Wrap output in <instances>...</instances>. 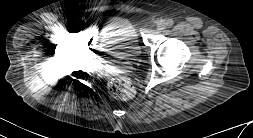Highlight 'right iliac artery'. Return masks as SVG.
<instances>
[{
    "instance_id": "1",
    "label": "right iliac artery",
    "mask_w": 253,
    "mask_h": 138,
    "mask_svg": "<svg viewBox=\"0 0 253 138\" xmlns=\"http://www.w3.org/2000/svg\"><path fill=\"white\" fill-rule=\"evenodd\" d=\"M65 24H66L67 26H71V25L73 24V21H72L71 19H67V20L65 21Z\"/></svg>"
}]
</instances>
